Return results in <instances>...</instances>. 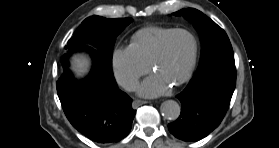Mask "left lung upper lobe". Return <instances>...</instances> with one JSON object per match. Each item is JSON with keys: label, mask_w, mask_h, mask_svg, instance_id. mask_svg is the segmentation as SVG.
Masks as SVG:
<instances>
[{"label": "left lung upper lobe", "mask_w": 279, "mask_h": 148, "mask_svg": "<svg viewBox=\"0 0 279 148\" xmlns=\"http://www.w3.org/2000/svg\"><path fill=\"white\" fill-rule=\"evenodd\" d=\"M173 15H182L191 21L200 35L202 51L199 68L217 59L234 58L233 49L225 31L202 12L188 8L175 12Z\"/></svg>", "instance_id": "1"}]
</instances>
